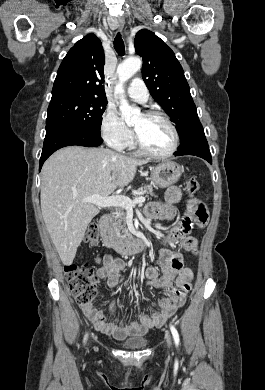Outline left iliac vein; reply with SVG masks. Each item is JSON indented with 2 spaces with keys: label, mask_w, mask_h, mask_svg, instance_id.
<instances>
[{
  "label": "left iliac vein",
  "mask_w": 265,
  "mask_h": 390,
  "mask_svg": "<svg viewBox=\"0 0 265 390\" xmlns=\"http://www.w3.org/2000/svg\"><path fill=\"white\" fill-rule=\"evenodd\" d=\"M166 341H167L168 346L170 347L171 346V337H170V335H166Z\"/></svg>",
  "instance_id": "4c4485c4"
}]
</instances>
